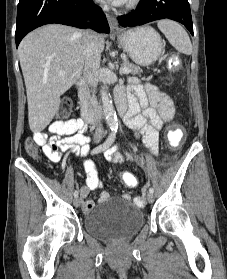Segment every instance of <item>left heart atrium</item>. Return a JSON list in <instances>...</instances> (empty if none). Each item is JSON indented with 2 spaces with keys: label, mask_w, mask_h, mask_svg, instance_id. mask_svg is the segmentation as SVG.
Segmentation results:
<instances>
[{
  "label": "left heart atrium",
  "mask_w": 227,
  "mask_h": 279,
  "mask_svg": "<svg viewBox=\"0 0 227 279\" xmlns=\"http://www.w3.org/2000/svg\"><path fill=\"white\" fill-rule=\"evenodd\" d=\"M106 1L111 2V3H113V4H121V3H123L125 0H106Z\"/></svg>",
  "instance_id": "1"
}]
</instances>
